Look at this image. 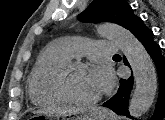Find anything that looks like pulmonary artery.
<instances>
[{"label":"pulmonary artery","mask_w":165,"mask_h":120,"mask_svg":"<svg viewBox=\"0 0 165 120\" xmlns=\"http://www.w3.org/2000/svg\"><path fill=\"white\" fill-rule=\"evenodd\" d=\"M54 47L68 58L89 53H95L101 56H113L120 51L119 45L113 42H87L73 38L60 39L55 43Z\"/></svg>","instance_id":"obj_1"}]
</instances>
